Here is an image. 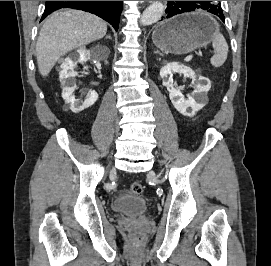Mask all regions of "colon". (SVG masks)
Returning <instances> with one entry per match:
<instances>
[{
	"instance_id": "5ec220e1",
	"label": "colon",
	"mask_w": 271,
	"mask_h": 266,
	"mask_svg": "<svg viewBox=\"0 0 271 266\" xmlns=\"http://www.w3.org/2000/svg\"><path fill=\"white\" fill-rule=\"evenodd\" d=\"M130 191L134 194V195H141L143 192V187L140 183L138 182H133L130 185ZM134 238L136 240H141L142 239V235L140 233H136L134 234Z\"/></svg>"
}]
</instances>
